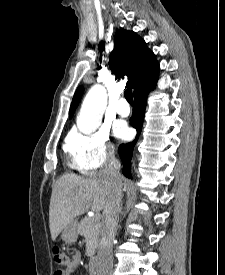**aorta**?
I'll return each instance as SVG.
<instances>
[{"label": "aorta", "mask_w": 225, "mask_h": 275, "mask_svg": "<svg viewBox=\"0 0 225 275\" xmlns=\"http://www.w3.org/2000/svg\"><path fill=\"white\" fill-rule=\"evenodd\" d=\"M107 105V93L102 85H94L87 93L80 113L77 117V127L84 134L95 132L101 124Z\"/></svg>", "instance_id": "762f6f07"}]
</instances>
